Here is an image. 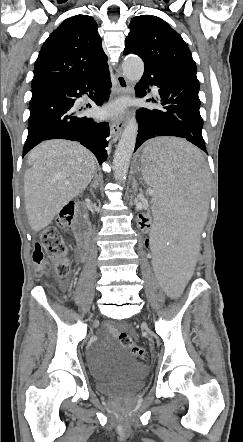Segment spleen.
I'll list each match as a JSON object with an SVG mask.
<instances>
[{"instance_id":"1","label":"spleen","mask_w":243,"mask_h":442,"mask_svg":"<svg viewBox=\"0 0 243 442\" xmlns=\"http://www.w3.org/2000/svg\"><path fill=\"white\" fill-rule=\"evenodd\" d=\"M137 178L155 192L152 214L154 274L166 296H181L191 274L207 210L208 175L199 149L178 138L147 143L140 154Z\"/></svg>"}]
</instances>
